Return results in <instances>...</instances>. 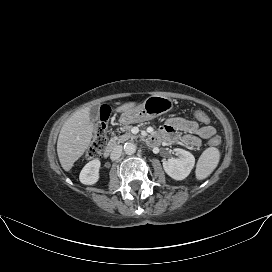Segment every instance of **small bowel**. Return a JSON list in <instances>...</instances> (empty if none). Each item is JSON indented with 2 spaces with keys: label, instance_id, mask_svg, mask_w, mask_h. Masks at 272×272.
<instances>
[{
  "label": "small bowel",
  "instance_id": "c3829d8e",
  "mask_svg": "<svg viewBox=\"0 0 272 272\" xmlns=\"http://www.w3.org/2000/svg\"><path fill=\"white\" fill-rule=\"evenodd\" d=\"M180 132L184 134L181 135ZM215 129L211 125H199L196 121L183 117H172L165 121L160 130L152 136V142L160 140L181 141L188 147L197 148L202 139H211Z\"/></svg>",
  "mask_w": 272,
  "mask_h": 272
}]
</instances>
